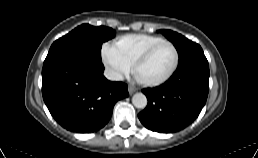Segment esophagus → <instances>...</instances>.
Segmentation results:
<instances>
[{
	"mask_svg": "<svg viewBox=\"0 0 258 158\" xmlns=\"http://www.w3.org/2000/svg\"><path fill=\"white\" fill-rule=\"evenodd\" d=\"M128 90L130 93L135 91V86L134 85H129Z\"/></svg>",
	"mask_w": 258,
	"mask_h": 158,
	"instance_id": "1",
	"label": "esophagus"
}]
</instances>
